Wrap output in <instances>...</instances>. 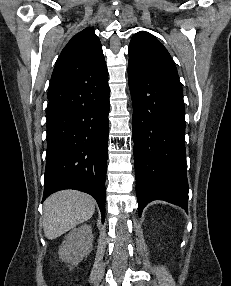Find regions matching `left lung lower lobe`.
I'll return each mask as SVG.
<instances>
[{"label": "left lung lower lobe", "instance_id": "0a47b994", "mask_svg": "<svg viewBox=\"0 0 231 286\" xmlns=\"http://www.w3.org/2000/svg\"><path fill=\"white\" fill-rule=\"evenodd\" d=\"M133 100V139L139 215L153 200L185 210L188 181L185 152V107L179 81L128 64Z\"/></svg>", "mask_w": 231, "mask_h": 286}]
</instances>
